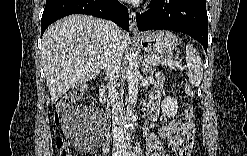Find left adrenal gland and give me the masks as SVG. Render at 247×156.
Here are the masks:
<instances>
[{"label":"left adrenal gland","instance_id":"obj_1","mask_svg":"<svg viewBox=\"0 0 247 156\" xmlns=\"http://www.w3.org/2000/svg\"><path fill=\"white\" fill-rule=\"evenodd\" d=\"M142 70L144 73L149 72V71H151V73H153L152 67H150L145 61H143Z\"/></svg>","mask_w":247,"mask_h":156}]
</instances>
